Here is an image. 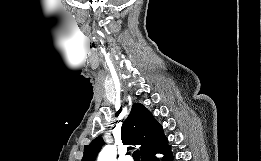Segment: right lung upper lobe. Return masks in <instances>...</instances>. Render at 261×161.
I'll return each instance as SVG.
<instances>
[{"instance_id":"cb5924a9","label":"right lung upper lobe","mask_w":261,"mask_h":161,"mask_svg":"<svg viewBox=\"0 0 261 161\" xmlns=\"http://www.w3.org/2000/svg\"><path fill=\"white\" fill-rule=\"evenodd\" d=\"M121 140L125 145H140L141 158L167 142L162 126L140 103H134L131 112L121 127ZM104 145L101 137L95 138L84 147L82 161H95Z\"/></svg>"}]
</instances>
